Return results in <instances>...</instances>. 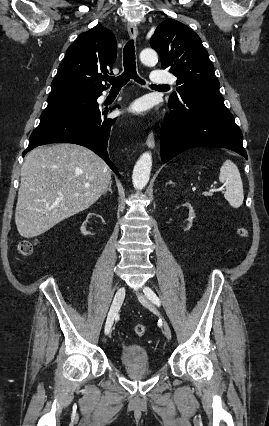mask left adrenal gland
<instances>
[{
  "mask_svg": "<svg viewBox=\"0 0 269 426\" xmlns=\"http://www.w3.org/2000/svg\"><path fill=\"white\" fill-rule=\"evenodd\" d=\"M168 184H174V183H173L172 181H169V182L167 183V185H168Z\"/></svg>",
  "mask_w": 269,
  "mask_h": 426,
  "instance_id": "left-adrenal-gland-1",
  "label": "left adrenal gland"
}]
</instances>
